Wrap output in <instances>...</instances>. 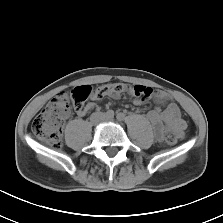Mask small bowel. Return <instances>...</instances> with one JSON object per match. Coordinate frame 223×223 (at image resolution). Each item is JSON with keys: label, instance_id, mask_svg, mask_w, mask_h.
Returning <instances> with one entry per match:
<instances>
[{"label": "small bowel", "instance_id": "c3829d8e", "mask_svg": "<svg viewBox=\"0 0 223 223\" xmlns=\"http://www.w3.org/2000/svg\"><path fill=\"white\" fill-rule=\"evenodd\" d=\"M164 102L165 101L157 97V106L147 114V119L153 126L155 135L161 138L165 131L170 129L175 131L179 136H182L186 124L181 118L179 108L173 102L168 101L167 106L162 109L160 105ZM134 103L136 105H141L142 101L136 99ZM94 107V103H88L82 110L78 111V115L85 116Z\"/></svg>", "mask_w": 223, "mask_h": 223}]
</instances>
